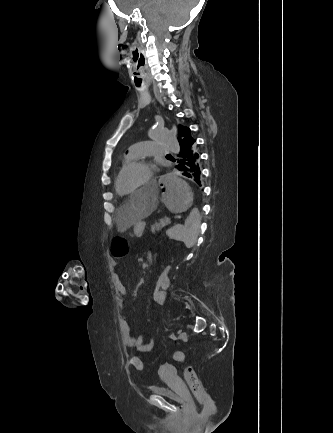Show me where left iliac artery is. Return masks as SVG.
<instances>
[{
  "label": "left iliac artery",
  "instance_id": "44dca946",
  "mask_svg": "<svg viewBox=\"0 0 333 433\" xmlns=\"http://www.w3.org/2000/svg\"><path fill=\"white\" fill-rule=\"evenodd\" d=\"M170 337L174 339V338H175V335H174V334H171Z\"/></svg>",
  "mask_w": 333,
  "mask_h": 433
}]
</instances>
